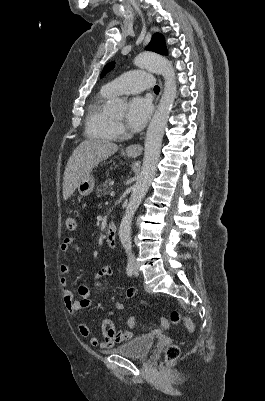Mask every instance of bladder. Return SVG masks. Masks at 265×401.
Listing matches in <instances>:
<instances>
[{
  "label": "bladder",
  "mask_w": 265,
  "mask_h": 401,
  "mask_svg": "<svg viewBox=\"0 0 265 401\" xmlns=\"http://www.w3.org/2000/svg\"><path fill=\"white\" fill-rule=\"evenodd\" d=\"M154 343L155 339L152 336H140L123 346L112 348L110 351L125 356L144 357L149 353Z\"/></svg>",
  "instance_id": "bladder-1"
}]
</instances>
